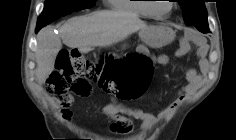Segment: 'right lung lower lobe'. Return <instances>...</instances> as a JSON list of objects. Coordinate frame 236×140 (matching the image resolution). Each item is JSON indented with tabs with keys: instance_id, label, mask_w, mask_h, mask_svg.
<instances>
[{
	"instance_id": "right-lung-lower-lobe-1",
	"label": "right lung lower lobe",
	"mask_w": 236,
	"mask_h": 140,
	"mask_svg": "<svg viewBox=\"0 0 236 140\" xmlns=\"http://www.w3.org/2000/svg\"><path fill=\"white\" fill-rule=\"evenodd\" d=\"M40 29H41L40 27H36V33H37Z\"/></svg>"
}]
</instances>
